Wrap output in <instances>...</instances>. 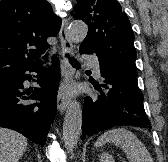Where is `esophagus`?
Masks as SVG:
<instances>
[{
  "label": "esophagus",
  "mask_w": 168,
  "mask_h": 162,
  "mask_svg": "<svg viewBox=\"0 0 168 162\" xmlns=\"http://www.w3.org/2000/svg\"><path fill=\"white\" fill-rule=\"evenodd\" d=\"M59 39L63 53H73V45L68 34V21L66 19H63L62 21L61 29L59 32ZM63 64L65 67V74L59 87L57 96V106L61 114L65 112L66 108L69 105V87L75 73L74 69L70 67L68 60L65 57H63Z\"/></svg>",
  "instance_id": "esophagus-1"
}]
</instances>
